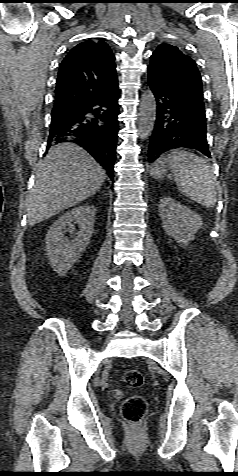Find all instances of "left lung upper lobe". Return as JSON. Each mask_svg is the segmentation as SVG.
I'll use <instances>...</instances> for the list:
<instances>
[{
  "label": "left lung upper lobe",
  "instance_id": "1",
  "mask_svg": "<svg viewBox=\"0 0 238 476\" xmlns=\"http://www.w3.org/2000/svg\"><path fill=\"white\" fill-rule=\"evenodd\" d=\"M148 72L177 93L203 102L202 79L196 63L176 46L159 45L151 56Z\"/></svg>",
  "mask_w": 238,
  "mask_h": 476
}]
</instances>
